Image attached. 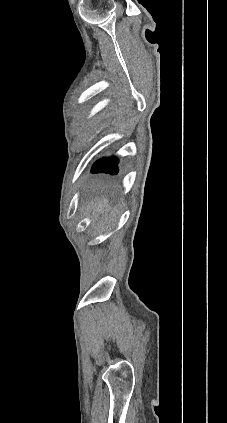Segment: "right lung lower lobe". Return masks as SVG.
Returning a JSON list of instances; mask_svg holds the SVG:
<instances>
[{
  "label": "right lung lower lobe",
  "mask_w": 227,
  "mask_h": 423,
  "mask_svg": "<svg viewBox=\"0 0 227 423\" xmlns=\"http://www.w3.org/2000/svg\"><path fill=\"white\" fill-rule=\"evenodd\" d=\"M115 159L109 158L106 160L98 161L92 168L93 173L105 172L115 175L118 173L116 166H113Z\"/></svg>",
  "instance_id": "1"
}]
</instances>
